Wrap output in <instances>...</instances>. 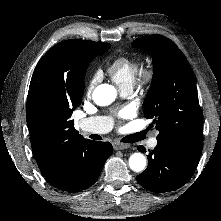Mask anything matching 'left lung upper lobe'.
<instances>
[{"label":"left lung upper lobe","mask_w":221,"mask_h":221,"mask_svg":"<svg viewBox=\"0 0 221 221\" xmlns=\"http://www.w3.org/2000/svg\"><path fill=\"white\" fill-rule=\"evenodd\" d=\"M133 46L151 53L154 76L143 110L159 131L157 140L202 142L203 113L196 82L186 57L170 39L154 34Z\"/></svg>","instance_id":"5c2ea615"}]
</instances>
